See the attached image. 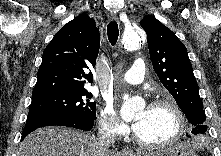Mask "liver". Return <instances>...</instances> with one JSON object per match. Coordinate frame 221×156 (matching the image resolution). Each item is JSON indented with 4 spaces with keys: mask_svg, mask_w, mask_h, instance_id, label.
Here are the masks:
<instances>
[{
    "mask_svg": "<svg viewBox=\"0 0 221 156\" xmlns=\"http://www.w3.org/2000/svg\"><path fill=\"white\" fill-rule=\"evenodd\" d=\"M191 148V145H187ZM19 156H118L99 147L90 133L65 127H46L29 134L20 144Z\"/></svg>",
    "mask_w": 221,
    "mask_h": 156,
    "instance_id": "6515ba94",
    "label": "liver"
}]
</instances>
